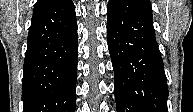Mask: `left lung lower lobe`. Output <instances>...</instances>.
Listing matches in <instances>:
<instances>
[{"label": "left lung lower lobe", "mask_w": 193, "mask_h": 112, "mask_svg": "<svg viewBox=\"0 0 193 112\" xmlns=\"http://www.w3.org/2000/svg\"><path fill=\"white\" fill-rule=\"evenodd\" d=\"M107 37L117 112H168L150 1L109 0Z\"/></svg>", "instance_id": "left-lung-lower-lobe-1"}]
</instances>
